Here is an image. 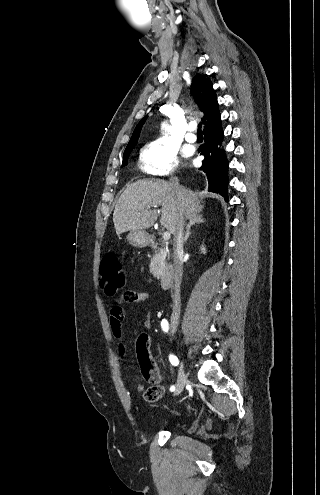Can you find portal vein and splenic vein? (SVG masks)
Masks as SVG:
<instances>
[{"label": "portal vein and splenic vein", "mask_w": 320, "mask_h": 495, "mask_svg": "<svg viewBox=\"0 0 320 495\" xmlns=\"http://www.w3.org/2000/svg\"><path fill=\"white\" fill-rule=\"evenodd\" d=\"M170 236H171L170 232L169 231H165L163 233V235H162L163 241L164 242H167L170 239Z\"/></svg>", "instance_id": "obj_1"}]
</instances>
